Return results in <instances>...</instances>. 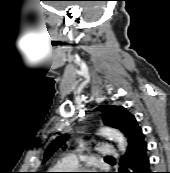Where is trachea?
<instances>
[{
  "instance_id": "1",
  "label": "trachea",
  "mask_w": 170,
  "mask_h": 173,
  "mask_svg": "<svg viewBox=\"0 0 170 173\" xmlns=\"http://www.w3.org/2000/svg\"><path fill=\"white\" fill-rule=\"evenodd\" d=\"M106 158H112L111 156H107Z\"/></svg>"
}]
</instances>
